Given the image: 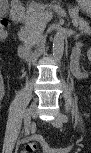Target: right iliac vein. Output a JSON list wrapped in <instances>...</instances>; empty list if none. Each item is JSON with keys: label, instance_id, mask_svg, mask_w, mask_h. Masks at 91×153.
Returning a JSON list of instances; mask_svg holds the SVG:
<instances>
[{"label": "right iliac vein", "instance_id": "obj_1", "mask_svg": "<svg viewBox=\"0 0 91 153\" xmlns=\"http://www.w3.org/2000/svg\"><path fill=\"white\" fill-rule=\"evenodd\" d=\"M37 103H38V101L35 100V101L30 105V107L26 110L25 118H24V119L26 120L28 126L30 125V120H31V118H33L34 115H35V113H36V110H37ZM27 124H26V126H27Z\"/></svg>", "mask_w": 91, "mask_h": 153}]
</instances>
